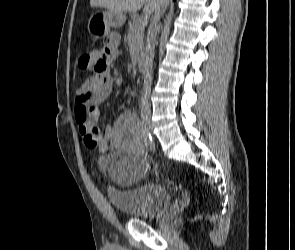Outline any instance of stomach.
<instances>
[{"mask_svg": "<svg viewBox=\"0 0 295 250\" xmlns=\"http://www.w3.org/2000/svg\"><path fill=\"white\" fill-rule=\"evenodd\" d=\"M126 21L125 12H116L113 10H99L98 15H93L88 23V31L92 35H107L109 29L119 28Z\"/></svg>", "mask_w": 295, "mask_h": 250, "instance_id": "0dacf381", "label": "stomach"}]
</instances>
